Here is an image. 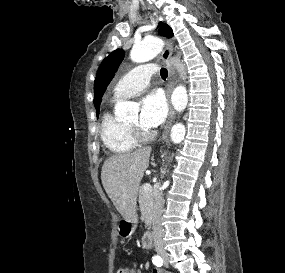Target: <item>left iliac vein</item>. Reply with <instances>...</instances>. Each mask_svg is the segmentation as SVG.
<instances>
[{
    "label": "left iliac vein",
    "mask_w": 285,
    "mask_h": 273,
    "mask_svg": "<svg viewBox=\"0 0 285 273\" xmlns=\"http://www.w3.org/2000/svg\"><path fill=\"white\" fill-rule=\"evenodd\" d=\"M165 266L167 267L168 266V263L165 261Z\"/></svg>",
    "instance_id": "left-iliac-vein-1"
}]
</instances>
